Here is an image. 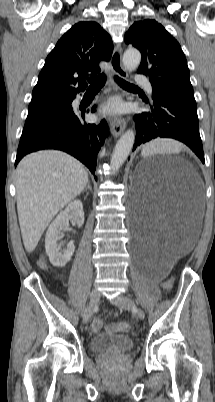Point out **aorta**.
I'll return each instance as SVG.
<instances>
[{
  "mask_svg": "<svg viewBox=\"0 0 215 402\" xmlns=\"http://www.w3.org/2000/svg\"><path fill=\"white\" fill-rule=\"evenodd\" d=\"M122 62L126 71H134L141 62V54L137 49H128L124 52ZM135 141V134L132 130H127L117 141L112 157L111 170L115 173L123 165L132 150Z\"/></svg>",
  "mask_w": 215,
  "mask_h": 402,
  "instance_id": "aorta-1",
  "label": "aorta"
}]
</instances>
